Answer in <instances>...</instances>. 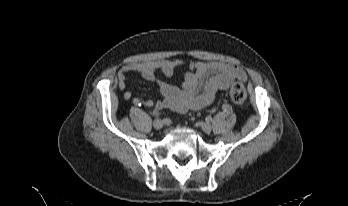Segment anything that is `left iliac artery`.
Instances as JSON below:
<instances>
[{"instance_id":"44dca946","label":"left iliac artery","mask_w":348,"mask_h":206,"mask_svg":"<svg viewBox=\"0 0 348 206\" xmlns=\"http://www.w3.org/2000/svg\"><path fill=\"white\" fill-rule=\"evenodd\" d=\"M231 106L228 104H225V106H223V111L225 112H230Z\"/></svg>"}]
</instances>
